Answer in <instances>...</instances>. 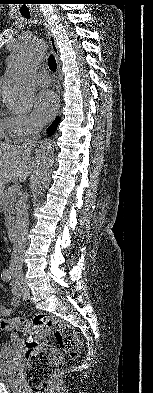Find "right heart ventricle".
<instances>
[{"label":"right heart ventricle","instance_id":"1","mask_svg":"<svg viewBox=\"0 0 153 393\" xmlns=\"http://www.w3.org/2000/svg\"><path fill=\"white\" fill-rule=\"evenodd\" d=\"M10 133V123L8 117H0V139L6 137Z\"/></svg>","mask_w":153,"mask_h":393}]
</instances>
